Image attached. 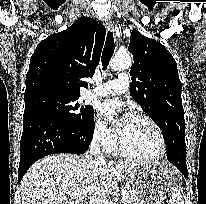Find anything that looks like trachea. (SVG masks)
I'll return each mask as SVG.
<instances>
[{
    "instance_id": "1",
    "label": "trachea",
    "mask_w": 206,
    "mask_h": 204,
    "mask_svg": "<svg viewBox=\"0 0 206 204\" xmlns=\"http://www.w3.org/2000/svg\"><path fill=\"white\" fill-rule=\"evenodd\" d=\"M114 49H115V43H114V38H113V33L111 31H109L107 33V38H106V42H105V46L102 52V66H103V70H106L111 57L113 56L114 53Z\"/></svg>"
}]
</instances>
